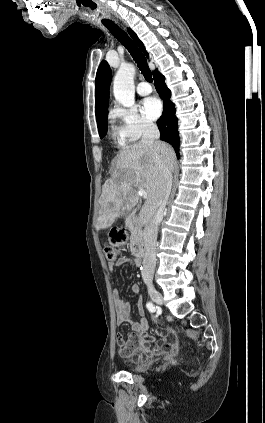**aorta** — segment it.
<instances>
[{
    "label": "aorta",
    "mask_w": 265,
    "mask_h": 423,
    "mask_svg": "<svg viewBox=\"0 0 265 423\" xmlns=\"http://www.w3.org/2000/svg\"><path fill=\"white\" fill-rule=\"evenodd\" d=\"M134 76L135 66L128 63L122 64L114 77V97L124 107H131L135 103Z\"/></svg>",
    "instance_id": "1"
}]
</instances>
